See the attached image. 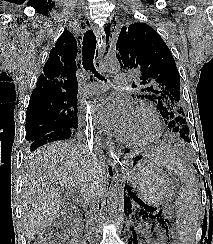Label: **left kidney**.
<instances>
[{
	"label": "left kidney",
	"mask_w": 213,
	"mask_h": 244,
	"mask_svg": "<svg viewBox=\"0 0 213 244\" xmlns=\"http://www.w3.org/2000/svg\"><path fill=\"white\" fill-rule=\"evenodd\" d=\"M161 236H163V235H161ZM155 244H165V240H164V238L163 239H158L156 242H155Z\"/></svg>",
	"instance_id": "5707ae66"
}]
</instances>
